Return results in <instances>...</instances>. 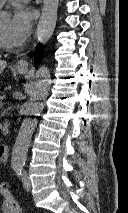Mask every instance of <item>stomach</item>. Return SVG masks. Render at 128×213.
Instances as JSON below:
<instances>
[{
    "label": "stomach",
    "mask_w": 128,
    "mask_h": 213,
    "mask_svg": "<svg viewBox=\"0 0 128 213\" xmlns=\"http://www.w3.org/2000/svg\"><path fill=\"white\" fill-rule=\"evenodd\" d=\"M18 72H19L20 74H24V73H26V71H25V70H18Z\"/></svg>",
    "instance_id": "obj_1"
}]
</instances>
